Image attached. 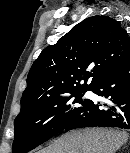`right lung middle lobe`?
I'll return each mask as SVG.
<instances>
[{
    "instance_id": "dd1d6c3e",
    "label": "right lung middle lobe",
    "mask_w": 130,
    "mask_h": 153,
    "mask_svg": "<svg viewBox=\"0 0 130 153\" xmlns=\"http://www.w3.org/2000/svg\"><path fill=\"white\" fill-rule=\"evenodd\" d=\"M85 92L47 101L17 116L13 153L29 152L63 131L89 103V99H82Z\"/></svg>"
}]
</instances>
